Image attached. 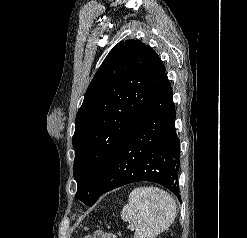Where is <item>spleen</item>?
Segmentation results:
<instances>
[{
  "instance_id": "obj_1",
  "label": "spleen",
  "mask_w": 247,
  "mask_h": 238,
  "mask_svg": "<svg viewBox=\"0 0 247 238\" xmlns=\"http://www.w3.org/2000/svg\"><path fill=\"white\" fill-rule=\"evenodd\" d=\"M176 202L158 187H138L129 195L121 218L135 226L134 238H155L173 223Z\"/></svg>"
}]
</instances>
